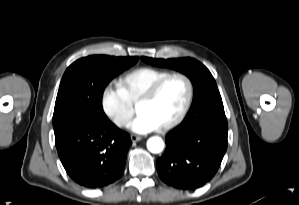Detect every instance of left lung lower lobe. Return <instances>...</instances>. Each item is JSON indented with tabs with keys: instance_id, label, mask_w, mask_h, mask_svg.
I'll use <instances>...</instances> for the list:
<instances>
[{
	"instance_id": "1",
	"label": "left lung lower lobe",
	"mask_w": 299,
	"mask_h": 205,
	"mask_svg": "<svg viewBox=\"0 0 299 205\" xmlns=\"http://www.w3.org/2000/svg\"><path fill=\"white\" fill-rule=\"evenodd\" d=\"M224 110L187 120L166 135V150L157 159L161 180L174 188L194 190L216 174L227 149Z\"/></svg>"
}]
</instances>
